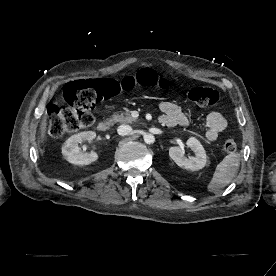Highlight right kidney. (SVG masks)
<instances>
[{"label":"right kidney","instance_id":"right-kidney-1","mask_svg":"<svg viewBox=\"0 0 276 276\" xmlns=\"http://www.w3.org/2000/svg\"><path fill=\"white\" fill-rule=\"evenodd\" d=\"M96 137L93 131H84L72 135L62 146V154L64 158L74 165H88L98 159V154L94 151L83 153L79 147L84 141H92Z\"/></svg>","mask_w":276,"mask_h":276}]
</instances>
